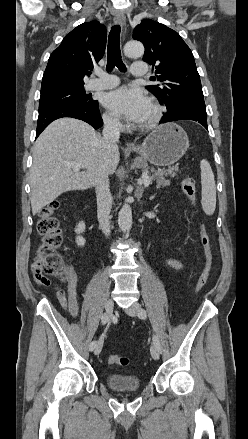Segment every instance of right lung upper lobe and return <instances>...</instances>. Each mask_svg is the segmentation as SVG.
<instances>
[{
	"label": "right lung upper lobe",
	"instance_id": "cb5924a9",
	"mask_svg": "<svg viewBox=\"0 0 248 439\" xmlns=\"http://www.w3.org/2000/svg\"><path fill=\"white\" fill-rule=\"evenodd\" d=\"M107 31L98 21L73 29L50 55L43 74L41 96L84 86L83 78L104 55Z\"/></svg>",
	"mask_w": 248,
	"mask_h": 439
}]
</instances>
